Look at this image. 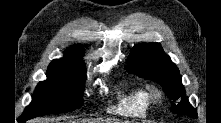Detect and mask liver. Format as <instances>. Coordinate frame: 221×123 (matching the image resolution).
Instances as JSON below:
<instances>
[{
  "label": "liver",
  "mask_w": 221,
  "mask_h": 123,
  "mask_svg": "<svg viewBox=\"0 0 221 123\" xmlns=\"http://www.w3.org/2000/svg\"><path fill=\"white\" fill-rule=\"evenodd\" d=\"M49 121L50 120L46 118H38V119L30 120L29 123H49ZM107 123H126V122H122L120 120H107Z\"/></svg>",
  "instance_id": "6515ba94"
}]
</instances>
